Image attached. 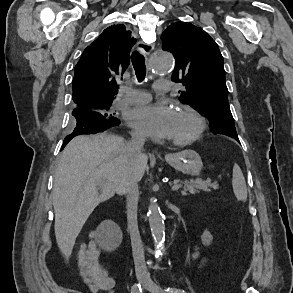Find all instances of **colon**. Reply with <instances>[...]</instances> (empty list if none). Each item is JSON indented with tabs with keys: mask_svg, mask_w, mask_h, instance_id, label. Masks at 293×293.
Returning a JSON list of instances; mask_svg holds the SVG:
<instances>
[{
	"mask_svg": "<svg viewBox=\"0 0 293 293\" xmlns=\"http://www.w3.org/2000/svg\"><path fill=\"white\" fill-rule=\"evenodd\" d=\"M99 251L92 240H88L81 248L79 271L85 283L94 292L109 293L110 281L106 271L98 262Z\"/></svg>",
	"mask_w": 293,
	"mask_h": 293,
	"instance_id": "1",
	"label": "colon"
}]
</instances>
